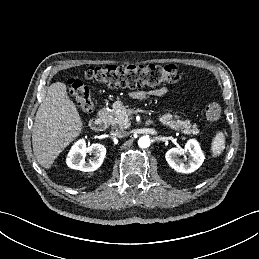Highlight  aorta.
<instances>
[{"label": "aorta", "mask_w": 259, "mask_h": 259, "mask_svg": "<svg viewBox=\"0 0 259 259\" xmlns=\"http://www.w3.org/2000/svg\"><path fill=\"white\" fill-rule=\"evenodd\" d=\"M151 144V139L149 136H142L139 140H138V145L140 148H147L149 147Z\"/></svg>", "instance_id": "obj_1"}]
</instances>
